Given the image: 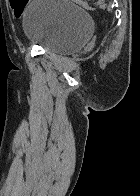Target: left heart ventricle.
Returning a JSON list of instances; mask_svg holds the SVG:
<instances>
[{"instance_id":"b2bd125f","label":"left heart ventricle","mask_w":140,"mask_h":196,"mask_svg":"<svg viewBox=\"0 0 140 196\" xmlns=\"http://www.w3.org/2000/svg\"><path fill=\"white\" fill-rule=\"evenodd\" d=\"M46 192H54V191H46Z\"/></svg>"}]
</instances>
